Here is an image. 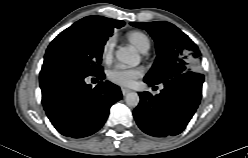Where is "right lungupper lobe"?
<instances>
[{"label":"right lung upper lobe","mask_w":248,"mask_h":158,"mask_svg":"<svg viewBox=\"0 0 248 158\" xmlns=\"http://www.w3.org/2000/svg\"><path fill=\"white\" fill-rule=\"evenodd\" d=\"M81 20L86 22L98 35L106 37L112 35L114 27L124 26V22L121 20H113L102 16H88Z\"/></svg>","instance_id":"1"}]
</instances>
